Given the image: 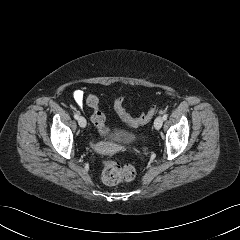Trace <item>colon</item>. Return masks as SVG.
Wrapping results in <instances>:
<instances>
[{
    "label": "colon",
    "instance_id": "1",
    "mask_svg": "<svg viewBox=\"0 0 240 240\" xmlns=\"http://www.w3.org/2000/svg\"><path fill=\"white\" fill-rule=\"evenodd\" d=\"M123 96L115 99L114 107L118 115L123 121L133 126H140L148 123L157 113V106L152 105L147 113L139 117H131L123 107ZM87 105L93 110L91 121L97 129L104 135L109 134V129L105 126V116L99 107V99L93 94H89L86 98ZM136 175L135 168L132 165H121L112 161L106 164L102 171V180L107 185H116L123 181H131Z\"/></svg>",
    "mask_w": 240,
    "mask_h": 240
}]
</instances>
